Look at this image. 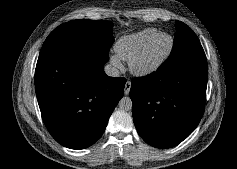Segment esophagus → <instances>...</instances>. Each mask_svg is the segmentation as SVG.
Segmentation results:
<instances>
[{"mask_svg":"<svg viewBox=\"0 0 237 169\" xmlns=\"http://www.w3.org/2000/svg\"><path fill=\"white\" fill-rule=\"evenodd\" d=\"M130 88H131V82H130V81H127V82L125 83V88H124V94H125V95H128V94H129Z\"/></svg>","mask_w":237,"mask_h":169,"instance_id":"obj_1","label":"esophagus"}]
</instances>
